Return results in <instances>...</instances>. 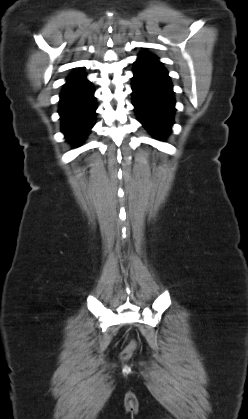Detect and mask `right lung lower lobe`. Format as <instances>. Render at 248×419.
I'll use <instances>...</instances> for the list:
<instances>
[{
	"mask_svg": "<svg viewBox=\"0 0 248 419\" xmlns=\"http://www.w3.org/2000/svg\"><path fill=\"white\" fill-rule=\"evenodd\" d=\"M79 70L73 72L60 94L59 114L62 132L71 143L78 144L95 124L97 104L92 84Z\"/></svg>",
	"mask_w": 248,
	"mask_h": 419,
	"instance_id": "98d812e1",
	"label": "right lung lower lobe"
}]
</instances>
